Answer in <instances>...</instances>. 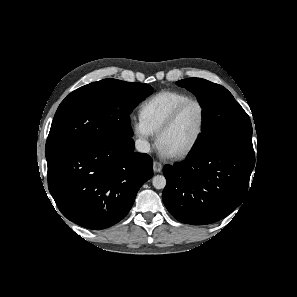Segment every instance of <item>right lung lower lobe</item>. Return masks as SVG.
<instances>
[{
    "mask_svg": "<svg viewBox=\"0 0 297 297\" xmlns=\"http://www.w3.org/2000/svg\"><path fill=\"white\" fill-rule=\"evenodd\" d=\"M48 188L62 214L89 229L122 220L153 176L149 155L134 141L107 139L71 147L47 160Z\"/></svg>",
    "mask_w": 297,
    "mask_h": 297,
    "instance_id": "obj_1",
    "label": "right lung lower lobe"
}]
</instances>
